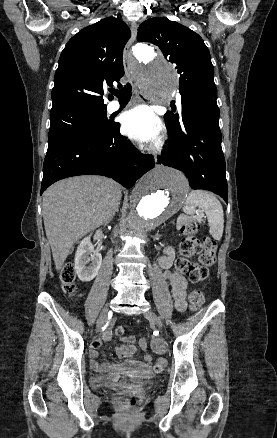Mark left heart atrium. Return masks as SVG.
<instances>
[{"instance_id": "obj_1", "label": "left heart atrium", "mask_w": 277, "mask_h": 438, "mask_svg": "<svg viewBox=\"0 0 277 438\" xmlns=\"http://www.w3.org/2000/svg\"><path fill=\"white\" fill-rule=\"evenodd\" d=\"M122 129L140 143H153L160 136L161 122L151 107L141 105L122 116Z\"/></svg>"}]
</instances>
